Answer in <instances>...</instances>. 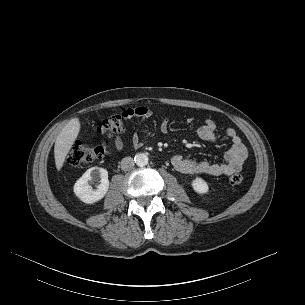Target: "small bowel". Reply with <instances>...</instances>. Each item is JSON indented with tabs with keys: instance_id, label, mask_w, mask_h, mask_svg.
<instances>
[{
	"instance_id": "small-bowel-1",
	"label": "small bowel",
	"mask_w": 305,
	"mask_h": 305,
	"mask_svg": "<svg viewBox=\"0 0 305 305\" xmlns=\"http://www.w3.org/2000/svg\"><path fill=\"white\" fill-rule=\"evenodd\" d=\"M127 112L131 117L139 119V124L133 134L132 143L135 147H140L142 142L140 140L139 131L143 123L152 117V111L147 106H138L128 109ZM188 124L194 122L193 117L186 119ZM169 119L163 118L160 122L159 129L162 133H166L169 129ZM216 124L211 119H206L204 123L198 128V136L208 142H216ZM225 135L231 141V147L227 150L223 163H212L208 161H196L175 155L172 157V165L174 168L184 174H203L210 176H228L239 172L247 159V149L240 137L233 128H227ZM123 149V143L120 137H117L113 143H109L106 147L108 156H112L115 152H120Z\"/></svg>"
}]
</instances>
